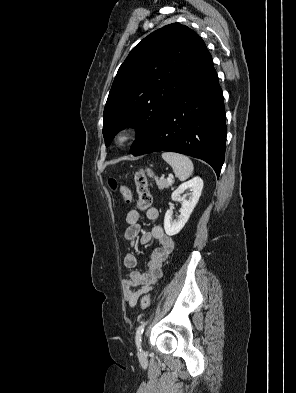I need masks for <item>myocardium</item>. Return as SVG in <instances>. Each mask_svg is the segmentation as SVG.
Returning <instances> with one entry per match:
<instances>
[{"label":"myocardium","instance_id":"obj_1","mask_svg":"<svg viewBox=\"0 0 296 393\" xmlns=\"http://www.w3.org/2000/svg\"><path fill=\"white\" fill-rule=\"evenodd\" d=\"M139 134V129L133 125H127L118 129L113 136V143L123 147L132 142Z\"/></svg>","mask_w":296,"mask_h":393}]
</instances>
